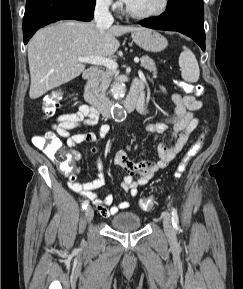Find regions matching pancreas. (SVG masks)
I'll return each instance as SVG.
<instances>
[{
	"mask_svg": "<svg viewBox=\"0 0 243 289\" xmlns=\"http://www.w3.org/2000/svg\"><path fill=\"white\" fill-rule=\"evenodd\" d=\"M141 67L153 74H157L155 62L148 56L142 57ZM116 75V70L106 69L105 71H100L90 82L91 92L97 101H105L107 99L106 90L108 89L113 77Z\"/></svg>",
	"mask_w": 243,
	"mask_h": 289,
	"instance_id": "1",
	"label": "pancreas"
}]
</instances>
